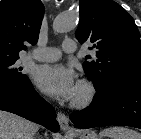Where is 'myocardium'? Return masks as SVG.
<instances>
[{"instance_id":"obj_1","label":"myocardium","mask_w":141,"mask_h":139,"mask_svg":"<svg viewBox=\"0 0 141 139\" xmlns=\"http://www.w3.org/2000/svg\"><path fill=\"white\" fill-rule=\"evenodd\" d=\"M97 95L95 85L88 80H81L77 86V94L75 95L72 106L74 108H86L93 103Z\"/></svg>"}]
</instances>
